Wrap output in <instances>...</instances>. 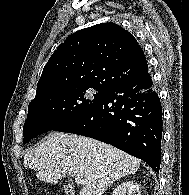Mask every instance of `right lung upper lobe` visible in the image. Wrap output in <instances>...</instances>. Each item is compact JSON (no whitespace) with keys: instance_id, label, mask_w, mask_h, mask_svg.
<instances>
[{"instance_id":"obj_1","label":"right lung upper lobe","mask_w":189,"mask_h":195,"mask_svg":"<svg viewBox=\"0 0 189 195\" xmlns=\"http://www.w3.org/2000/svg\"><path fill=\"white\" fill-rule=\"evenodd\" d=\"M147 67L130 32L115 23L97 24L71 34L58 46L43 69L35 98L80 86L109 89L143 75Z\"/></svg>"}]
</instances>
